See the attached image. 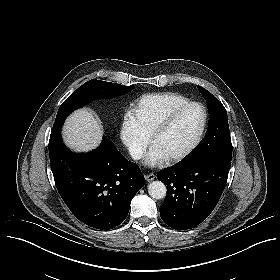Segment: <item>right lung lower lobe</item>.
Returning a JSON list of instances; mask_svg holds the SVG:
<instances>
[{
	"instance_id": "1",
	"label": "right lung lower lobe",
	"mask_w": 280,
	"mask_h": 280,
	"mask_svg": "<svg viewBox=\"0 0 280 280\" xmlns=\"http://www.w3.org/2000/svg\"><path fill=\"white\" fill-rule=\"evenodd\" d=\"M60 125H53L49 140L50 165L60 196L86 225L118 226L128 215L132 197L145 184L139 167L126 160L106 136L91 153L70 152L62 143Z\"/></svg>"
}]
</instances>
